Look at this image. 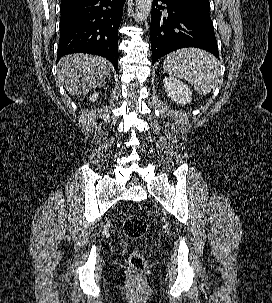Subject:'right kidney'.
Here are the masks:
<instances>
[{
    "label": "right kidney",
    "mask_w": 272,
    "mask_h": 303,
    "mask_svg": "<svg viewBox=\"0 0 272 303\" xmlns=\"http://www.w3.org/2000/svg\"><path fill=\"white\" fill-rule=\"evenodd\" d=\"M98 95H99L98 93H93V94L89 97V100L92 101V102L96 101L97 98H98Z\"/></svg>",
    "instance_id": "obj_1"
}]
</instances>
